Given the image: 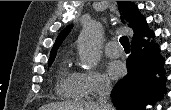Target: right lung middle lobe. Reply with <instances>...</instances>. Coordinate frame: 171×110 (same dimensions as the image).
Segmentation results:
<instances>
[{"mask_svg":"<svg viewBox=\"0 0 171 110\" xmlns=\"http://www.w3.org/2000/svg\"><path fill=\"white\" fill-rule=\"evenodd\" d=\"M54 58H55V56H52L49 58L48 66H50L52 64V62L54 61Z\"/></svg>","mask_w":171,"mask_h":110,"instance_id":"1","label":"right lung middle lobe"}]
</instances>
